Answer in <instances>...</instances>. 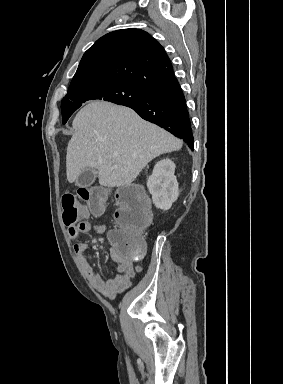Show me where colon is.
<instances>
[{"mask_svg":"<svg viewBox=\"0 0 283 384\" xmlns=\"http://www.w3.org/2000/svg\"><path fill=\"white\" fill-rule=\"evenodd\" d=\"M109 191L101 187L79 188L62 197L63 219L69 226H76L89 213L101 214L105 211ZM116 211L114 228L110 241L117 253L125 260L135 261L145 254V241L142 234L151 220L148 202L142 191L127 185L115 192Z\"/></svg>","mask_w":283,"mask_h":384,"instance_id":"1","label":"colon"}]
</instances>
